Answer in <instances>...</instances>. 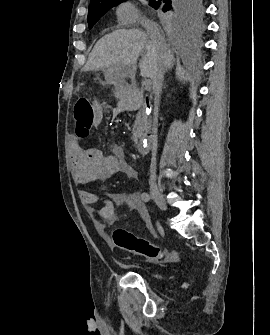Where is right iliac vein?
Instances as JSON below:
<instances>
[{"label":"right iliac vein","mask_w":270,"mask_h":335,"mask_svg":"<svg viewBox=\"0 0 270 335\" xmlns=\"http://www.w3.org/2000/svg\"><path fill=\"white\" fill-rule=\"evenodd\" d=\"M150 193L157 206L165 211L167 209L166 201L156 186H151Z\"/></svg>","instance_id":"obj_1"}]
</instances>
